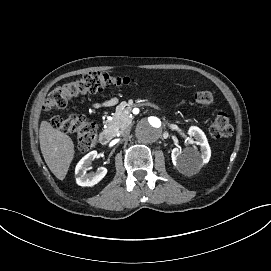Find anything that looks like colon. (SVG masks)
I'll return each mask as SVG.
<instances>
[{
	"instance_id": "5ec220e1",
	"label": "colon",
	"mask_w": 271,
	"mask_h": 271,
	"mask_svg": "<svg viewBox=\"0 0 271 271\" xmlns=\"http://www.w3.org/2000/svg\"><path fill=\"white\" fill-rule=\"evenodd\" d=\"M135 79L128 75H111L105 72H89L72 81L55 87L44 102V109L50 115V121L54 128L74 134L77 138L78 149L87 152L97 143V126L82 115H70L67 117L56 114V110L62 109L74 98L84 94H93L103 91L110 86L128 85ZM215 95L210 90L199 91L194 95V100L201 106L213 104ZM233 127L227 114H218L211 127L210 134L216 139L231 136Z\"/></svg>"
}]
</instances>
